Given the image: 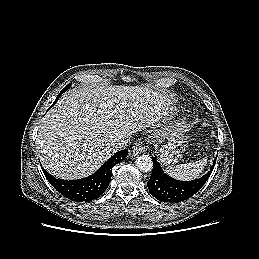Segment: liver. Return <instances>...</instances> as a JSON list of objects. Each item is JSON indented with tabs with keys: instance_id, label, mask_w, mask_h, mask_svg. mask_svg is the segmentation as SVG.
I'll use <instances>...</instances> for the list:
<instances>
[{
	"instance_id": "6515ba94",
	"label": "liver",
	"mask_w": 259,
	"mask_h": 259,
	"mask_svg": "<svg viewBox=\"0 0 259 259\" xmlns=\"http://www.w3.org/2000/svg\"><path fill=\"white\" fill-rule=\"evenodd\" d=\"M168 106V98L139 86L72 89L42 120V165L58 178L86 177L112 156L115 142L158 122Z\"/></svg>"
}]
</instances>
